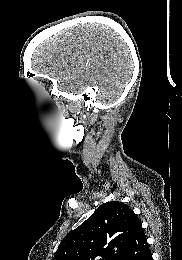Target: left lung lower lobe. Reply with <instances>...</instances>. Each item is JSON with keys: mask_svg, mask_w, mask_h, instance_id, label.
Here are the masks:
<instances>
[{"mask_svg": "<svg viewBox=\"0 0 182 260\" xmlns=\"http://www.w3.org/2000/svg\"><path fill=\"white\" fill-rule=\"evenodd\" d=\"M120 260H153L142 226L131 237Z\"/></svg>", "mask_w": 182, "mask_h": 260, "instance_id": "0a47b994", "label": "left lung lower lobe"}]
</instances>
